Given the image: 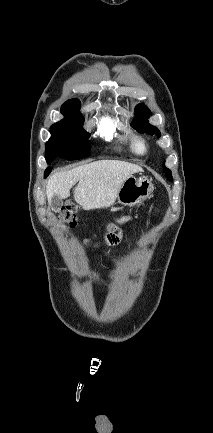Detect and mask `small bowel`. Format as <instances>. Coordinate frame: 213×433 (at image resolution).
<instances>
[{"mask_svg": "<svg viewBox=\"0 0 213 433\" xmlns=\"http://www.w3.org/2000/svg\"><path fill=\"white\" fill-rule=\"evenodd\" d=\"M129 221H130L129 216H120L116 219V224L122 225V224L129 222ZM120 239H121V234L116 231V225H114V224L109 225L108 226V232H107L105 238L103 239V242L110 244V245H115L120 241ZM83 242H84L85 246H87L91 251L98 248L99 244L101 243V242L91 243L89 238H85L83 240Z\"/></svg>", "mask_w": 213, "mask_h": 433, "instance_id": "obj_1", "label": "small bowel"}]
</instances>
